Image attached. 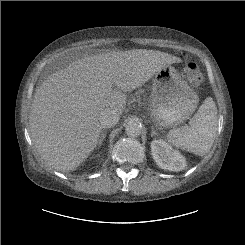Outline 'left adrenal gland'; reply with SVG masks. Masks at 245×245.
Returning <instances> with one entry per match:
<instances>
[{"label": "left adrenal gland", "instance_id": "1", "mask_svg": "<svg viewBox=\"0 0 245 245\" xmlns=\"http://www.w3.org/2000/svg\"><path fill=\"white\" fill-rule=\"evenodd\" d=\"M155 135H157V132L155 131L154 126H151V136L154 137Z\"/></svg>", "mask_w": 245, "mask_h": 245}]
</instances>
